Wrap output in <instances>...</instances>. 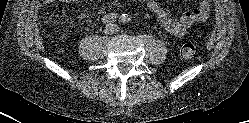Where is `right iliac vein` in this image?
<instances>
[{
    "mask_svg": "<svg viewBox=\"0 0 249 123\" xmlns=\"http://www.w3.org/2000/svg\"><path fill=\"white\" fill-rule=\"evenodd\" d=\"M112 32H113V28H112L111 26H107V27L105 28V33L110 34V33H112Z\"/></svg>",
    "mask_w": 249,
    "mask_h": 123,
    "instance_id": "1",
    "label": "right iliac vein"
}]
</instances>
